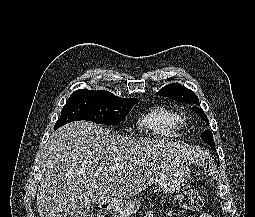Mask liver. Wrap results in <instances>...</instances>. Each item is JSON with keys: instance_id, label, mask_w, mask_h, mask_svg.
Instances as JSON below:
<instances>
[{"instance_id": "obj_1", "label": "liver", "mask_w": 255, "mask_h": 217, "mask_svg": "<svg viewBox=\"0 0 255 217\" xmlns=\"http://www.w3.org/2000/svg\"><path fill=\"white\" fill-rule=\"evenodd\" d=\"M188 145L129 138L86 121L53 132L43 148L40 217H67L78 202L104 204L146 189L176 164L197 158ZM120 164L119 171L112 167Z\"/></svg>"}]
</instances>
